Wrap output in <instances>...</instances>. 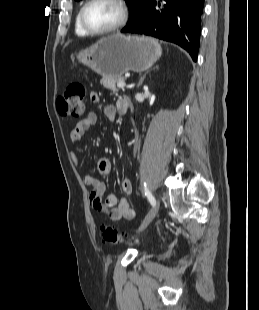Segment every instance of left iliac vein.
I'll use <instances>...</instances> for the list:
<instances>
[{
    "label": "left iliac vein",
    "mask_w": 259,
    "mask_h": 310,
    "mask_svg": "<svg viewBox=\"0 0 259 310\" xmlns=\"http://www.w3.org/2000/svg\"><path fill=\"white\" fill-rule=\"evenodd\" d=\"M159 208H160V200L159 198H157L155 205L149 211V213L147 214V216L141 223L140 227L138 228L137 232L144 230L151 223V221L154 219V217L158 213Z\"/></svg>",
    "instance_id": "1"
}]
</instances>
